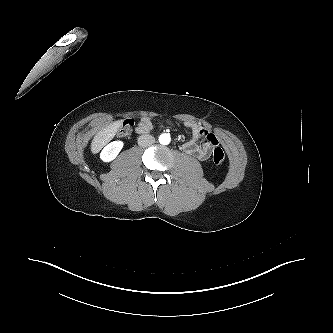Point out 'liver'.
Here are the masks:
<instances>
[{
	"label": "liver",
	"instance_id": "6515ba94",
	"mask_svg": "<svg viewBox=\"0 0 333 333\" xmlns=\"http://www.w3.org/2000/svg\"><path fill=\"white\" fill-rule=\"evenodd\" d=\"M122 124V120L115 121L107 127L100 130L91 143L92 153H97L104 145H106L116 135Z\"/></svg>",
	"mask_w": 333,
	"mask_h": 333
}]
</instances>
